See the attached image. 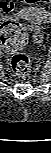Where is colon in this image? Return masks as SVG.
<instances>
[{
  "label": "colon",
  "instance_id": "obj_1",
  "mask_svg": "<svg viewBox=\"0 0 51 153\" xmlns=\"http://www.w3.org/2000/svg\"><path fill=\"white\" fill-rule=\"evenodd\" d=\"M25 1L32 4L49 2V0ZM28 29L34 31V42L37 46H39L43 41V32L39 23L26 27L16 20L7 19L1 25V44L6 51L14 54L10 62L11 69L16 76L21 78L26 77L30 72V59L28 56L20 53L26 44Z\"/></svg>",
  "mask_w": 51,
  "mask_h": 153
}]
</instances>
